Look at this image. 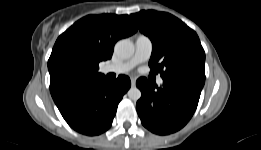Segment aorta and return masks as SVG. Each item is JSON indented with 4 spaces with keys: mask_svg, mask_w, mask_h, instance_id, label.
Here are the masks:
<instances>
[{
    "mask_svg": "<svg viewBox=\"0 0 261 150\" xmlns=\"http://www.w3.org/2000/svg\"><path fill=\"white\" fill-rule=\"evenodd\" d=\"M114 51L118 57L128 59L134 54V45L130 40L123 39L115 44ZM127 94L133 101H137L141 97V91L137 87H131Z\"/></svg>",
    "mask_w": 261,
    "mask_h": 150,
    "instance_id": "762f6f07",
    "label": "aorta"
}]
</instances>
